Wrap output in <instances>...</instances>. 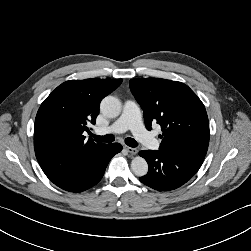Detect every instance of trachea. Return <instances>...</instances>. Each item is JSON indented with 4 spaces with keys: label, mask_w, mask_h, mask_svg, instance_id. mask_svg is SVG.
<instances>
[{
    "label": "trachea",
    "mask_w": 251,
    "mask_h": 251,
    "mask_svg": "<svg viewBox=\"0 0 251 251\" xmlns=\"http://www.w3.org/2000/svg\"><path fill=\"white\" fill-rule=\"evenodd\" d=\"M91 136L93 138H95L96 140L98 141H101V142H106V143H110V142H113L114 141V136L111 135V134H107L105 136H98V135H94V134H91ZM125 143L130 146V147H136L138 145V143L133 139V138H130V137H127L125 139Z\"/></svg>",
    "instance_id": "1"
}]
</instances>
